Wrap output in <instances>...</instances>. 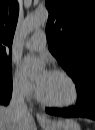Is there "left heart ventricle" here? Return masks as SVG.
<instances>
[{"instance_id":"1","label":"left heart ventricle","mask_w":95,"mask_h":130,"mask_svg":"<svg viewBox=\"0 0 95 130\" xmlns=\"http://www.w3.org/2000/svg\"><path fill=\"white\" fill-rule=\"evenodd\" d=\"M39 88L44 98L56 103L70 102L74 96L71 83L64 76L55 73H49Z\"/></svg>"}]
</instances>
